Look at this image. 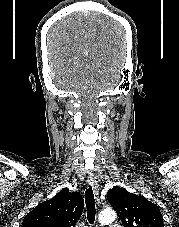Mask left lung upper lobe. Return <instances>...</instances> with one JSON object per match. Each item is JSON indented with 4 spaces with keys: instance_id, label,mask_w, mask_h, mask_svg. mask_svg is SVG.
<instances>
[{
    "instance_id": "obj_1",
    "label": "left lung upper lobe",
    "mask_w": 179,
    "mask_h": 227,
    "mask_svg": "<svg viewBox=\"0 0 179 227\" xmlns=\"http://www.w3.org/2000/svg\"><path fill=\"white\" fill-rule=\"evenodd\" d=\"M107 199L124 227H164L159 207L143 196L113 187L108 190Z\"/></svg>"
}]
</instances>
